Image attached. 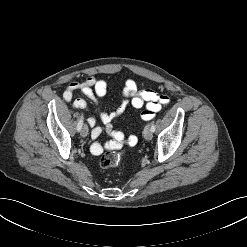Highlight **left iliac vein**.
<instances>
[{
    "mask_svg": "<svg viewBox=\"0 0 247 247\" xmlns=\"http://www.w3.org/2000/svg\"><path fill=\"white\" fill-rule=\"evenodd\" d=\"M143 136H144V138H145L146 140H148V141L152 139L153 133H152V131H151L149 125H147V126L145 127V129H144V131H143Z\"/></svg>",
    "mask_w": 247,
    "mask_h": 247,
    "instance_id": "4c4485c4",
    "label": "left iliac vein"
}]
</instances>
